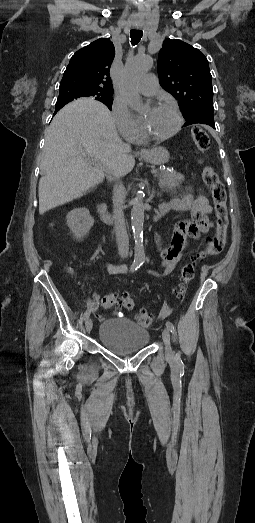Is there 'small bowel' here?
<instances>
[{"instance_id":"obj_1","label":"small bowel","mask_w":255,"mask_h":523,"mask_svg":"<svg viewBox=\"0 0 255 523\" xmlns=\"http://www.w3.org/2000/svg\"><path fill=\"white\" fill-rule=\"evenodd\" d=\"M170 209L179 212H189L191 219L178 222L174 228L171 242L168 246L158 247L160 264L164 267L163 272L147 270V273L154 277L169 275L178 263L183 259V253L188 245L189 238H198L201 234L207 233L212 228L210 214L212 207L204 195L193 196L188 194L179 199L169 202ZM107 269L111 274L126 273L127 265L108 264ZM99 295L93 296V304L96 305Z\"/></svg>"}]
</instances>
